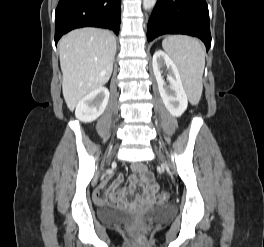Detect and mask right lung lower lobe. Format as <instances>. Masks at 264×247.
Listing matches in <instances>:
<instances>
[{"mask_svg": "<svg viewBox=\"0 0 264 247\" xmlns=\"http://www.w3.org/2000/svg\"><path fill=\"white\" fill-rule=\"evenodd\" d=\"M121 0H59L55 11V43L63 34L81 27L120 29Z\"/></svg>", "mask_w": 264, "mask_h": 247, "instance_id": "1", "label": "right lung lower lobe"}]
</instances>
